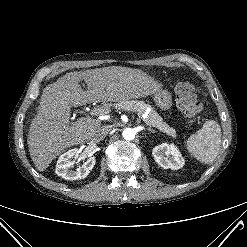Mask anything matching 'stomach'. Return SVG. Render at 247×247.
I'll return each mask as SVG.
<instances>
[{
    "mask_svg": "<svg viewBox=\"0 0 247 247\" xmlns=\"http://www.w3.org/2000/svg\"><path fill=\"white\" fill-rule=\"evenodd\" d=\"M154 102L162 110H168L172 105L171 94L166 90H158L154 93Z\"/></svg>",
    "mask_w": 247,
    "mask_h": 247,
    "instance_id": "0dacf381",
    "label": "stomach"
}]
</instances>
